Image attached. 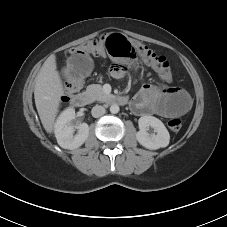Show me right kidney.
<instances>
[{"mask_svg":"<svg viewBox=\"0 0 227 227\" xmlns=\"http://www.w3.org/2000/svg\"><path fill=\"white\" fill-rule=\"evenodd\" d=\"M73 119H75V110L67 108L59 115L54 126L57 142L64 149L73 150L79 148L89 135L88 124L82 123L77 126L78 134L73 136L74 126L70 124Z\"/></svg>","mask_w":227,"mask_h":227,"instance_id":"1","label":"right kidney"}]
</instances>
